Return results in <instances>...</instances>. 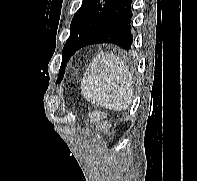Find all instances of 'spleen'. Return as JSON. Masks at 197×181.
<instances>
[{
    "mask_svg": "<svg viewBox=\"0 0 197 181\" xmlns=\"http://www.w3.org/2000/svg\"><path fill=\"white\" fill-rule=\"evenodd\" d=\"M81 92L91 104L115 111L125 110L132 101V77L126 64L114 53H99L81 81Z\"/></svg>",
    "mask_w": 197,
    "mask_h": 181,
    "instance_id": "1",
    "label": "spleen"
}]
</instances>
